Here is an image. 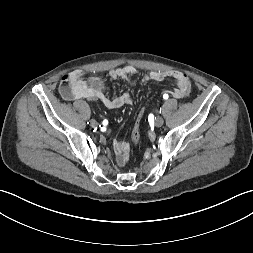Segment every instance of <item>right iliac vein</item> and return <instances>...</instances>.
Here are the masks:
<instances>
[{"label": "right iliac vein", "mask_w": 253, "mask_h": 253, "mask_svg": "<svg viewBox=\"0 0 253 253\" xmlns=\"http://www.w3.org/2000/svg\"><path fill=\"white\" fill-rule=\"evenodd\" d=\"M90 125L92 126V127H97L98 126V122L96 121V120H91L90 121Z\"/></svg>", "instance_id": "1"}]
</instances>
